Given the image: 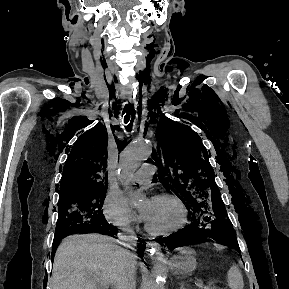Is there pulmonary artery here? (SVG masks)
Masks as SVG:
<instances>
[{"label": "pulmonary artery", "instance_id": "1", "mask_svg": "<svg viewBox=\"0 0 289 289\" xmlns=\"http://www.w3.org/2000/svg\"><path fill=\"white\" fill-rule=\"evenodd\" d=\"M155 172L156 166L154 164L145 163L138 171L130 176L129 181L132 184H147L151 181Z\"/></svg>", "mask_w": 289, "mask_h": 289}]
</instances>
